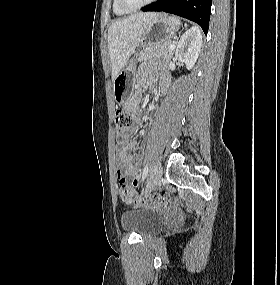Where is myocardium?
Listing matches in <instances>:
<instances>
[{
  "instance_id": "obj_1",
  "label": "myocardium",
  "mask_w": 280,
  "mask_h": 285,
  "mask_svg": "<svg viewBox=\"0 0 280 285\" xmlns=\"http://www.w3.org/2000/svg\"><path fill=\"white\" fill-rule=\"evenodd\" d=\"M120 7L125 10V11H129V12H133L136 10H139L141 8H144L150 4H152L153 2H155L156 0H146L145 2L139 4V5H130L127 3L126 0H117Z\"/></svg>"
}]
</instances>
